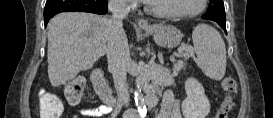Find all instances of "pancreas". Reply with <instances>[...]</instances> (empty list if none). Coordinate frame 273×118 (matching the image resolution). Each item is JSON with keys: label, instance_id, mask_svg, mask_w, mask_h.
Segmentation results:
<instances>
[{"label": "pancreas", "instance_id": "1", "mask_svg": "<svg viewBox=\"0 0 273 118\" xmlns=\"http://www.w3.org/2000/svg\"><path fill=\"white\" fill-rule=\"evenodd\" d=\"M185 61L188 60L190 57H193V48L191 46H185L183 51L179 54ZM181 68H184V62L179 61L175 66L174 70L179 71Z\"/></svg>", "mask_w": 273, "mask_h": 118}]
</instances>
